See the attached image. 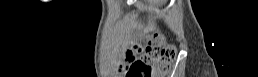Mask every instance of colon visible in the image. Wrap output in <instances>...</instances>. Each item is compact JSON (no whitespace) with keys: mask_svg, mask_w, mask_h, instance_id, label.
Wrapping results in <instances>:
<instances>
[{"mask_svg":"<svg viewBox=\"0 0 258 77\" xmlns=\"http://www.w3.org/2000/svg\"><path fill=\"white\" fill-rule=\"evenodd\" d=\"M175 56L173 45L165 43L161 37H154L139 57L133 51L127 52V64L123 69L127 77H162L168 73Z\"/></svg>","mask_w":258,"mask_h":77,"instance_id":"1","label":"colon"}]
</instances>
